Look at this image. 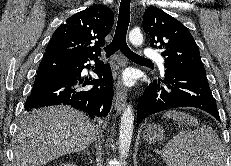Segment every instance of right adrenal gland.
Here are the masks:
<instances>
[{"mask_svg": "<svg viewBox=\"0 0 231 166\" xmlns=\"http://www.w3.org/2000/svg\"><path fill=\"white\" fill-rule=\"evenodd\" d=\"M82 153H86L90 158V162H92L91 154H90V151H89L88 147Z\"/></svg>", "mask_w": 231, "mask_h": 166, "instance_id": "2a0ac1e0", "label": "right adrenal gland"}]
</instances>
